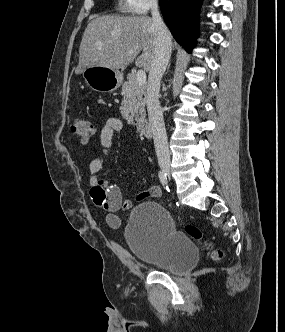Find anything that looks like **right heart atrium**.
<instances>
[{
  "label": "right heart atrium",
  "mask_w": 285,
  "mask_h": 332,
  "mask_svg": "<svg viewBox=\"0 0 285 332\" xmlns=\"http://www.w3.org/2000/svg\"><path fill=\"white\" fill-rule=\"evenodd\" d=\"M157 3L158 0H123L125 9L137 15L147 13L151 8L155 7Z\"/></svg>",
  "instance_id": "right-heart-atrium-1"
}]
</instances>
